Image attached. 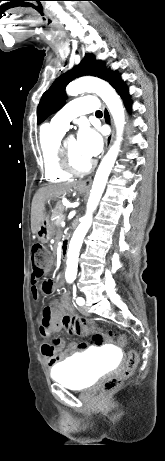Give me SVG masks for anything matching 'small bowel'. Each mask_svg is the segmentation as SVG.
Instances as JSON below:
<instances>
[{"label":"small bowel","mask_w":165,"mask_h":461,"mask_svg":"<svg viewBox=\"0 0 165 461\" xmlns=\"http://www.w3.org/2000/svg\"><path fill=\"white\" fill-rule=\"evenodd\" d=\"M59 282L45 280L41 286L32 279L31 295L37 300L42 293L45 296L52 295L59 287ZM70 296L68 292H63L58 301L46 306L41 316L37 319L40 335L49 339L54 333L66 329L70 334L87 336L90 333L89 323L82 317L73 315L70 308ZM104 344V333L94 332L93 336L81 337L80 344L71 343L68 348L63 350V342L55 339L53 343L44 341L40 345V351L46 364L53 367L61 361L67 359L75 352L91 354L93 351H102Z\"/></svg>","instance_id":"small-bowel-1"}]
</instances>
